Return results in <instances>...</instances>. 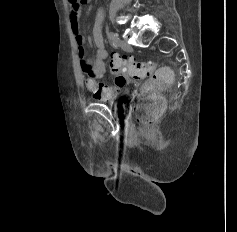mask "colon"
Masks as SVG:
<instances>
[{"label": "colon", "mask_w": 237, "mask_h": 232, "mask_svg": "<svg viewBox=\"0 0 237 232\" xmlns=\"http://www.w3.org/2000/svg\"><path fill=\"white\" fill-rule=\"evenodd\" d=\"M87 1L69 0L76 5ZM109 70L118 88L123 87L129 77L143 81L136 99L135 116L139 125L152 126L164 110L161 93L172 83V71L169 68L157 69L152 61L140 62L118 54L112 55Z\"/></svg>", "instance_id": "obj_1"}]
</instances>
